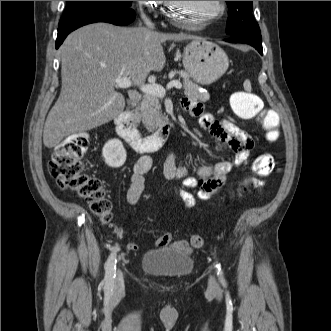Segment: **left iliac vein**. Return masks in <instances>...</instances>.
<instances>
[{"instance_id": "1", "label": "left iliac vein", "mask_w": 331, "mask_h": 331, "mask_svg": "<svg viewBox=\"0 0 331 331\" xmlns=\"http://www.w3.org/2000/svg\"><path fill=\"white\" fill-rule=\"evenodd\" d=\"M208 285H209V289H210V290H216V289H217V283H216V281L214 280L213 277H211V278L209 279V283H208Z\"/></svg>"}]
</instances>
